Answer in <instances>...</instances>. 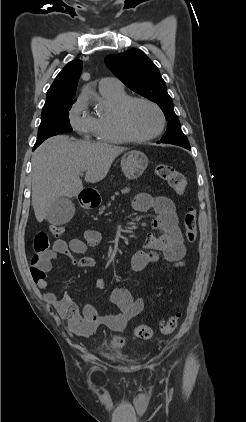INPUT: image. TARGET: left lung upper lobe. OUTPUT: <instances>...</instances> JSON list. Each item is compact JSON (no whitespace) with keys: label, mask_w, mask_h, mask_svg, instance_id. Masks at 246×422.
I'll list each match as a JSON object with an SVG mask.
<instances>
[{"label":"left lung upper lobe","mask_w":246,"mask_h":422,"mask_svg":"<svg viewBox=\"0 0 246 422\" xmlns=\"http://www.w3.org/2000/svg\"><path fill=\"white\" fill-rule=\"evenodd\" d=\"M105 63L128 88L160 106L168 120V129L161 138L162 143L190 147L174 112L165 81L156 65L141 50L132 49L121 54L108 55Z\"/></svg>","instance_id":"1"}]
</instances>
